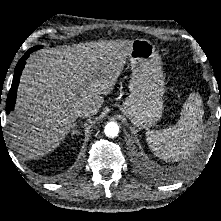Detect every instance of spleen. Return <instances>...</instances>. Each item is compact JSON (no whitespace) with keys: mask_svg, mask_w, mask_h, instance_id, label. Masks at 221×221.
Here are the masks:
<instances>
[{"mask_svg":"<svg viewBox=\"0 0 221 221\" xmlns=\"http://www.w3.org/2000/svg\"><path fill=\"white\" fill-rule=\"evenodd\" d=\"M203 113L200 98L195 93L191 94L175 125L146 132V140L153 154L168 162L186 159L201 142Z\"/></svg>","mask_w":221,"mask_h":221,"instance_id":"3e777b00","label":"spleen"}]
</instances>
